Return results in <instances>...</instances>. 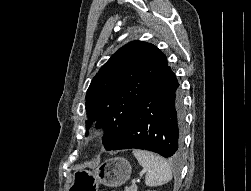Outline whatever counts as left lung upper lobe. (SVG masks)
<instances>
[{
	"instance_id": "obj_1",
	"label": "left lung upper lobe",
	"mask_w": 251,
	"mask_h": 191,
	"mask_svg": "<svg viewBox=\"0 0 251 191\" xmlns=\"http://www.w3.org/2000/svg\"><path fill=\"white\" fill-rule=\"evenodd\" d=\"M167 66L166 56L156 46L132 41L113 54L92 79L86 94V129L91 121H96V128H104L106 150Z\"/></svg>"
}]
</instances>
